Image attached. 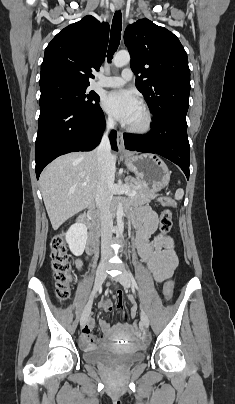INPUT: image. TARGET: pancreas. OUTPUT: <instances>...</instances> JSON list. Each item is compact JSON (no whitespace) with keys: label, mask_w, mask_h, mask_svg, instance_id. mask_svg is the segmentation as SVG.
I'll return each instance as SVG.
<instances>
[{"label":"pancreas","mask_w":235,"mask_h":404,"mask_svg":"<svg viewBox=\"0 0 235 404\" xmlns=\"http://www.w3.org/2000/svg\"><path fill=\"white\" fill-rule=\"evenodd\" d=\"M127 184L131 191H136V194L129 198V202L132 204L137 205L150 202L158 196V194H155L142 180L129 179Z\"/></svg>","instance_id":"pancreas-1"}]
</instances>
